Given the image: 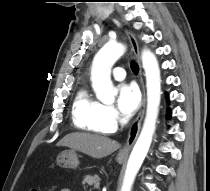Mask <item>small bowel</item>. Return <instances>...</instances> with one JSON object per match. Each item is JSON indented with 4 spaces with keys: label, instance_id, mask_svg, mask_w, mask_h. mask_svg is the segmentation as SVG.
I'll return each instance as SVG.
<instances>
[{
    "label": "small bowel",
    "instance_id": "obj_1",
    "mask_svg": "<svg viewBox=\"0 0 210 191\" xmlns=\"http://www.w3.org/2000/svg\"><path fill=\"white\" fill-rule=\"evenodd\" d=\"M60 191H71V190L67 189V188H64V189H61Z\"/></svg>",
    "mask_w": 210,
    "mask_h": 191
}]
</instances>
